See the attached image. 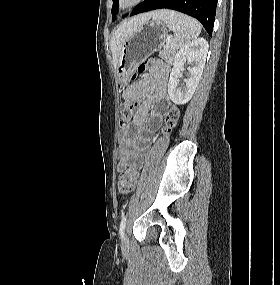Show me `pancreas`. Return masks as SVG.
<instances>
[{
    "label": "pancreas",
    "instance_id": "cf45deb5",
    "mask_svg": "<svg viewBox=\"0 0 280 285\" xmlns=\"http://www.w3.org/2000/svg\"><path fill=\"white\" fill-rule=\"evenodd\" d=\"M175 55V50L165 46V49L160 52V56L167 63H172Z\"/></svg>",
    "mask_w": 280,
    "mask_h": 285
}]
</instances>
